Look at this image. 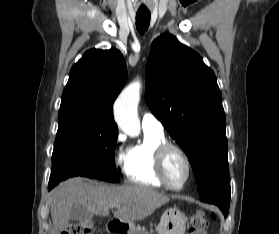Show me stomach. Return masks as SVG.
Returning a JSON list of instances; mask_svg holds the SVG:
<instances>
[{
  "label": "stomach",
  "instance_id": "0dacf381",
  "mask_svg": "<svg viewBox=\"0 0 279 234\" xmlns=\"http://www.w3.org/2000/svg\"><path fill=\"white\" fill-rule=\"evenodd\" d=\"M186 215L176 208L167 209L161 216L157 226L158 234H185ZM126 234H142L133 223H125Z\"/></svg>",
  "mask_w": 279,
  "mask_h": 234
}]
</instances>
